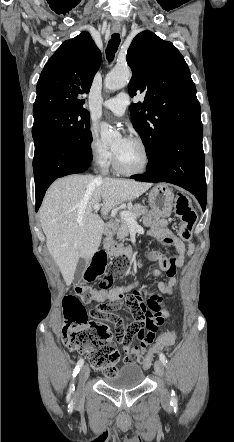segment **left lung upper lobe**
Listing matches in <instances>:
<instances>
[{"label": "left lung upper lobe", "instance_id": "left-lung-upper-lobe-1", "mask_svg": "<svg viewBox=\"0 0 234 442\" xmlns=\"http://www.w3.org/2000/svg\"><path fill=\"white\" fill-rule=\"evenodd\" d=\"M126 59L132 69L130 95L145 94L130 111L146 148L147 165H152L170 133L201 121L200 104L188 65L171 42L143 31L133 39Z\"/></svg>", "mask_w": 234, "mask_h": 442}]
</instances>
